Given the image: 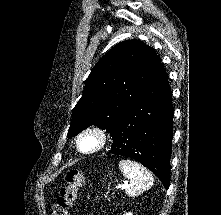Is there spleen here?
Here are the masks:
<instances>
[{"instance_id":"1","label":"spleen","mask_w":221,"mask_h":215,"mask_svg":"<svg viewBox=\"0 0 221 215\" xmlns=\"http://www.w3.org/2000/svg\"><path fill=\"white\" fill-rule=\"evenodd\" d=\"M119 168L123 175L130 180V184L125 190L129 196L141 194L153 185L151 173L141 164L125 159L119 162Z\"/></svg>"}]
</instances>
